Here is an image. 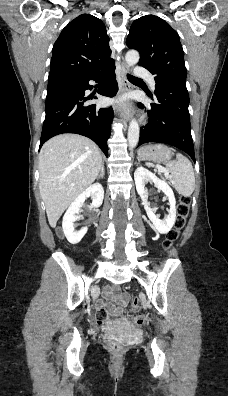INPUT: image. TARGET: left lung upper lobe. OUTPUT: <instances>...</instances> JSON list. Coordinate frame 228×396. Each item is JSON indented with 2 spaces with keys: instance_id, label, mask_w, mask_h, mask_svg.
<instances>
[{
  "instance_id": "1",
  "label": "left lung upper lobe",
  "mask_w": 228,
  "mask_h": 396,
  "mask_svg": "<svg viewBox=\"0 0 228 396\" xmlns=\"http://www.w3.org/2000/svg\"><path fill=\"white\" fill-rule=\"evenodd\" d=\"M126 45L140 53L139 66L155 75V82H186L183 49L177 32L163 19L146 15L135 20Z\"/></svg>"
}]
</instances>
